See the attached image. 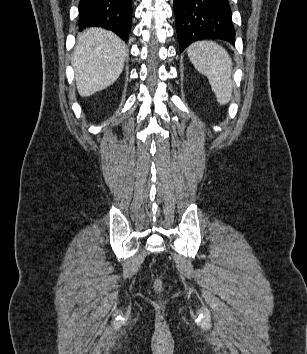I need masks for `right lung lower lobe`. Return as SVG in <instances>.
Segmentation results:
<instances>
[{
	"label": "right lung lower lobe",
	"instance_id": "right-lung-lower-lobe-1",
	"mask_svg": "<svg viewBox=\"0 0 307 354\" xmlns=\"http://www.w3.org/2000/svg\"><path fill=\"white\" fill-rule=\"evenodd\" d=\"M79 28L104 27L127 41L131 29L132 0H80Z\"/></svg>",
	"mask_w": 307,
	"mask_h": 354
}]
</instances>
